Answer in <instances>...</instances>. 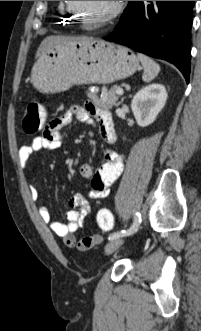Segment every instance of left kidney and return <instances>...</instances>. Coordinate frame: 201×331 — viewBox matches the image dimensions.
<instances>
[{
	"instance_id": "obj_1",
	"label": "left kidney",
	"mask_w": 201,
	"mask_h": 331,
	"mask_svg": "<svg viewBox=\"0 0 201 331\" xmlns=\"http://www.w3.org/2000/svg\"><path fill=\"white\" fill-rule=\"evenodd\" d=\"M167 100V92L162 84H151L142 88L133 98L131 109L141 127L154 122Z\"/></svg>"
}]
</instances>
